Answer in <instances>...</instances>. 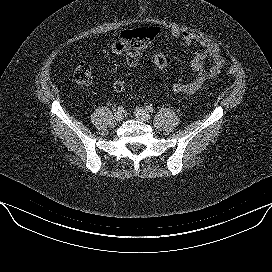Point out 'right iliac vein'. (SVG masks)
<instances>
[{"label": "right iliac vein", "instance_id": "1", "mask_svg": "<svg viewBox=\"0 0 272 272\" xmlns=\"http://www.w3.org/2000/svg\"><path fill=\"white\" fill-rule=\"evenodd\" d=\"M114 118H115L116 121H122L123 118H124V115H123L122 112L117 111V112H115V114H114Z\"/></svg>", "mask_w": 272, "mask_h": 272}]
</instances>
